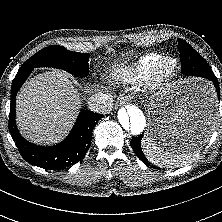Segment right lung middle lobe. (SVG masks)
Returning a JSON list of instances; mask_svg holds the SVG:
<instances>
[{
  "mask_svg": "<svg viewBox=\"0 0 222 222\" xmlns=\"http://www.w3.org/2000/svg\"><path fill=\"white\" fill-rule=\"evenodd\" d=\"M89 54L69 51L62 46L45 47L30 57L20 68L54 67L76 75L87 76Z\"/></svg>",
  "mask_w": 222,
  "mask_h": 222,
  "instance_id": "dd1d6c3e",
  "label": "right lung middle lobe"
}]
</instances>
